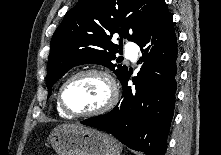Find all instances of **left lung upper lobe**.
Here are the masks:
<instances>
[{
	"instance_id": "5c2ea615",
	"label": "left lung upper lobe",
	"mask_w": 221,
	"mask_h": 155,
	"mask_svg": "<svg viewBox=\"0 0 221 155\" xmlns=\"http://www.w3.org/2000/svg\"><path fill=\"white\" fill-rule=\"evenodd\" d=\"M163 3L164 0H79L66 13L51 39L48 96L53 84L80 64H102L122 81L128 69L112 61L122 49L123 38L136 42ZM113 36L120 39L119 45L111 42Z\"/></svg>"
}]
</instances>
